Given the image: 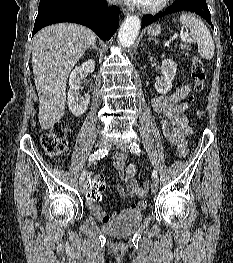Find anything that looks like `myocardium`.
I'll use <instances>...</instances> for the list:
<instances>
[{"label": "myocardium", "mask_w": 233, "mask_h": 263, "mask_svg": "<svg viewBox=\"0 0 233 263\" xmlns=\"http://www.w3.org/2000/svg\"><path fill=\"white\" fill-rule=\"evenodd\" d=\"M170 1L171 0H160L158 3H156L154 5L139 4L138 8L140 11H142L144 13H149V14L158 13V12L162 11L165 7H167V5L169 4Z\"/></svg>", "instance_id": "obj_1"}]
</instances>
